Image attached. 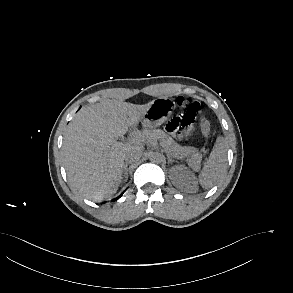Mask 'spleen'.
I'll return each mask as SVG.
<instances>
[{"mask_svg":"<svg viewBox=\"0 0 293 293\" xmlns=\"http://www.w3.org/2000/svg\"><path fill=\"white\" fill-rule=\"evenodd\" d=\"M227 166V143L223 137L219 136L199 173V183L205 188H211L226 171Z\"/></svg>","mask_w":293,"mask_h":293,"instance_id":"1","label":"spleen"}]
</instances>
